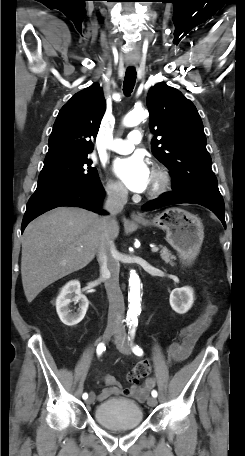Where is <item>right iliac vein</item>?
<instances>
[{
  "label": "right iliac vein",
  "instance_id": "1",
  "mask_svg": "<svg viewBox=\"0 0 245 456\" xmlns=\"http://www.w3.org/2000/svg\"><path fill=\"white\" fill-rule=\"evenodd\" d=\"M117 328L116 327H107L106 330L104 331V334H103V337H102V340L103 342H108L110 340V338L117 333ZM95 400V394L94 393H90L88 399L86 400V403L87 404H92Z\"/></svg>",
  "mask_w": 245,
  "mask_h": 456
}]
</instances>
